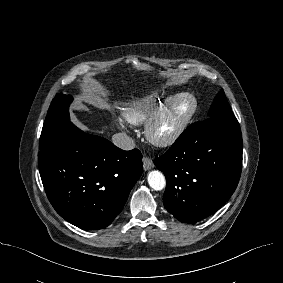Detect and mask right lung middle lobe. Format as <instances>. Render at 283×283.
Here are the masks:
<instances>
[{
    "mask_svg": "<svg viewBox=\"0 0 283 283\" xmlns=\"http://www.w3.org/2000/svg\"><path fill=\"white\" fill-rule=\"evenodd\" d=\"M72 100L73 98L71 96L64 94H57L52 100L40 137V150L51 146L57 135L71 124L69 105Z\"/></svg>",
    "mask_w": 283,
    "mask_h": 283,
    "instance_id": "dd1d6c3e",
    "label": "right lung middle lobe"
}]
</instances>
